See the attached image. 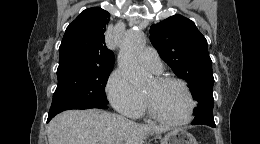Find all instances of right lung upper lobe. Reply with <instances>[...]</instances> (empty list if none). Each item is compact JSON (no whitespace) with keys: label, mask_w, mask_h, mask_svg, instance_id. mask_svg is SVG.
Instances as JSON below:
<instances>
[{"label":"right lung upper lobe","mask_w":260,"mask_h":144,"mask_svg":"<svg viewBox=\"0 0 260 144\" xmlns=\"http://www.w3.org/2000/svg\"><path fill=\"white\" fill-rule=\"evenodd\" d=\"M109 13L100 7L84 10L66 29L59 48L62 68H109L114 54L105 45Z\"/></svg>","instance_id":"1"}]
</instances>
